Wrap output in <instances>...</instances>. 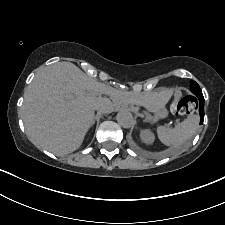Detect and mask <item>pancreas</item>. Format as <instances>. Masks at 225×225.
<instances>
[{"instance_id":"cf45deb5","label":"pancreas","mask_w":225,"mask_h":225,"mask_svg":"<svg viewBox=\"0 0 225 225\" xmlns=\"http://www.w3.org/2000/svg\"><path fill=\"white\" fill-rule=\"evenodd\" d=\"M157 116H160V117H162L163 116V113H157Z\"/></svg>"}]
</instances>
